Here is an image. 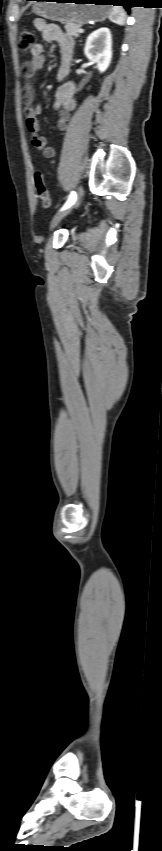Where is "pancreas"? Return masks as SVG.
Here are the masks:
<instances>
[{
	"mask_svg": "<svg viewBox=\"0 0 162 851\" xmlns=\"http://www.w3.org/2000/svg\"><path fill=\"white\" fill-rule=\"evenodd\" d=\"M79 29H81V25H79V24H75V23H66L65 24V30H66L67 34L70 35V36H74L75 38H78L79 35H80Z\"/></svg>",
	"mask_w": 162,
	"mask_h": 851,
	"instance_id": "obj_1",
	"label": "pancreas"
}]
</instances>
